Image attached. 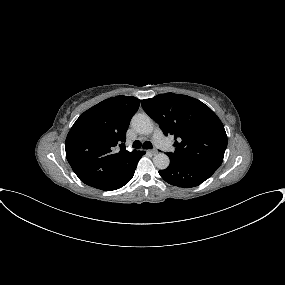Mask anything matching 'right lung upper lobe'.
I'll use <instances>...</instances> for the list:
<instances>
[{
    "label": "right lung upper lobe",
    "instance_id": "cb5924a9",
    "mask_svg": "<svg viewBox=\"0 0 285 285\" xmlns=\"http://www.w3.org/2000/svg\"><path fill=\"white\" fill-rule=\"evenodd\" d=\"M140 100L116 96L91 107L69 131L65 150L73 171L85 184L100 187L125 177L140 151L125 148L126 131Z\"/></svg>",
    "mask_w": 285,
    "mask_h": 285
}]
</instances>
